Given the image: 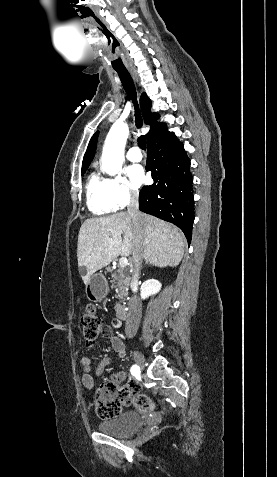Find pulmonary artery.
<instances>
[{
	"label": "pulmonary artery",
	"instance_id": "e3ab8cb5",
	"mask_svg": "<svg viewBox=\"0 0 277 477\" xmlns=\"http://www.w3.org/2000/svg\"><path fill=\"white\" fill-rule=\"evenodd\" d=\"M127 157L131 161L139 162L142 160V153L138 147H132L128 150Z\"/></svg>",
	"mask_w": 277,
	"mask_h": 477
}]
</instances>
